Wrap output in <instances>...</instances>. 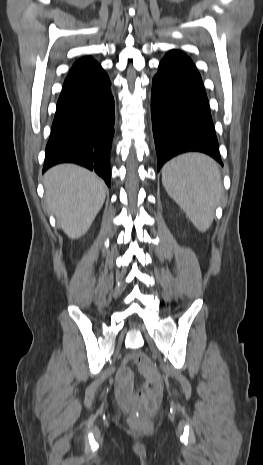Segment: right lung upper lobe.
I'll list each match as a JSON object with an SVG mask.
<instances>
[{
    "mask_svg": "<svg viewBox=\"0 0 263 465\" xmlns=\"http://www.w3.org/2000/svg\"><path fill=\"white\" fill-rule=\"evenodd\" d=\"M99 66V64L92 59L91 57H84L80 60H78L73 67L70 70V73L77 72V71H82L85 69L93 68Z\"/></svg>",
    "mask_w": 263,
    "mask_h": 465,
    "instance_id": "right-lung-upper-lobe-1",
    "label": "right lung upper lobe"
}]
</instances>
